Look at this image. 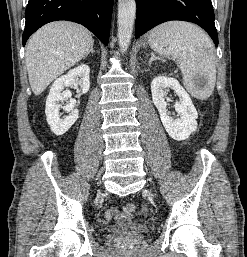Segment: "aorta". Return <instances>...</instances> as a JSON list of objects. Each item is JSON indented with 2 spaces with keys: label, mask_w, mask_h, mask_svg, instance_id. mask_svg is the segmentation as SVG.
I'll list each match as a JSON object with an SVG mask.
<instances>
[{
  "label": "aorta",
  "mask_w": 247,
  "mask_h": 257,
  "mask_svg": "<svg viewBox=\"0 0 247 257\" xmlns=\"http://www.w3.org/2000/svg\"><path fill=\"white\" fill-rule=\"evenodd\" d=\"M136 15L135 0H118V43L122 53H125L131 42Z\"/></svg>",
  "instance_id": "1"
}]
</instances>
